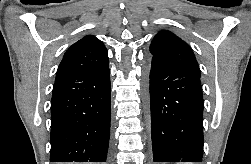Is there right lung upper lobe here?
Instances as JSON below:
<instances>
[{"label": "right lung upper lobe", "mask_w": 251, "mask_h": 164, "mask_svg": "<svg viewBox=\"0 0 251 164\" xmlns=\"http://www.w3.org/2000/svg\"><path fill=\"white\" fill-rule=\"evenodd\" d=\"M108 63L104 44L95 36H85L66 51L58 67L55 81L101 68Z\"/></svg>", "instance_id": "right-lung-upper-lobe-1"}]
</instances>
